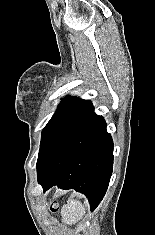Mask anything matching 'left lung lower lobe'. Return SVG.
<instances>
[{"label": "left lung lower lobe", "instance_id": "left-lung-lower-lobe-1", "mask_svg": "<svg viewBox=\"0 0 155 235\" xmlns=\"http://www.w3.org/2000/svg\"><path fill=\"white\" fill-rule=\"evenodd\" d=\"M113 166V141L94 111L49 155L37 172L43 191L54 185L88 197L91 210L103 199Z\"/></svg>", "mask_w": 155, "mask_h": 235}]
</instances>
